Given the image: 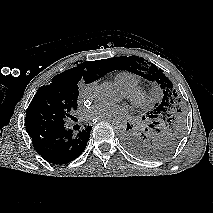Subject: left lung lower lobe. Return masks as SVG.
I'll list each match as a JSON object with an SVG mask.
<instances>
[{
	"label": "left lung lower lobe",
	"mask_w": 213,
	"mask_h": 213,
	"mask_svg": "<svg viewBox=\"0 0 213 213\" xmlns=\"http://www.w3.org/2000/svg\"><path fill=\"white\" fill-rule=\"evenodd\" d=\"M132 127L128 124L127 129L126 130H130ZM128 131L126 133H128ZM126 135V134H125ZM123 142H124V138H123Z\"/></svg>",
	"instance_id": "left-lung-lower-lobe-1"
}]
</instances>
